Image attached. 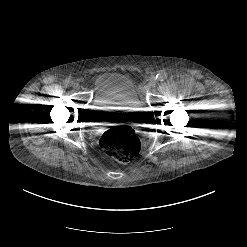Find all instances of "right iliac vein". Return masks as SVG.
Instances as JSON below:
<instances>
[{
	"label": "right iliac vein",
	"instance_id": "right-iliac-vein-1",
	"mask_svg": "<svg viewBox=\"0 0 247 247\" xmlns=\"http://www.w3.org/2000/svg\"><path fill=\"white\" fill-rule=\"evenodd\" d=\"M73 88H74L75 90H79V89H80V85H79L78 83H74V84H73Z\"/></svg>",
	"mask_w": 247,
	"mask_h": 247
}]
</instances>
